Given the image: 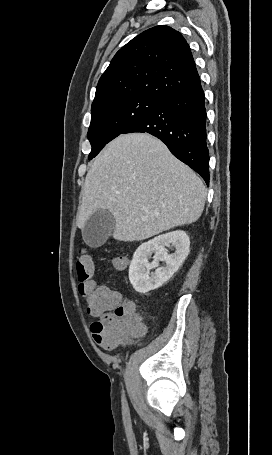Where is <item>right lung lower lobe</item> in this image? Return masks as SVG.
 Masks as SVG:
<instances>
[{"label": "right lung lower lobe", "instance_id": "1", "mask_svg": "<svg viewBox=\"0 0 272 455\" xmlns=\"http://www.w3.org/2000/svg\"><path fill=\"white\" fill-rule=\"evenodd\" d=\"M147 132L163 141L171 153L209 184L206 109L200 79L167 98L123 133Z\"/></svg>", "mask_w": 272, "mask_h": 455}]
</instances>
